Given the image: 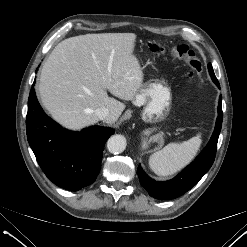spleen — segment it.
<instances>
[{"instance_id": "obj_1", "label": "spleen", "mask_w": 247, "mask_h": 247, "mask_svg": "<svg viewBox=\"0 0 247 247\" xmlns=\"http://www.w3.org/2000/svg\"><path fill=\"white\" fill-rule=\"evenodd\" d=\"M201 143L200 134L181 143H170L150 156L149 166L159 176L173 175L193 160Z\"/></svg>"}]
</instances>
